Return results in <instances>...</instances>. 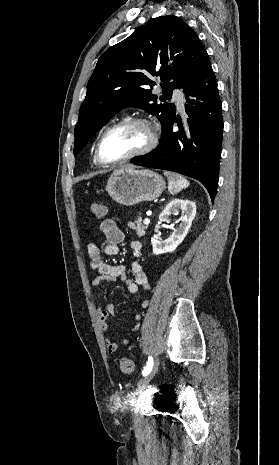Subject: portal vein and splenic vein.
Returning <instances> with one entry per match:
<instances>
[{
  "label": "portal vein and splenic vein",
  "instance_id": "obj_1",
  "mask_svg": "<svg viewBox=\"0 0 279 465\" xmlns=\"http://www.w3.org/2000/svg\"><path fill=\"white\" fill-rule=\"evenodd\" d=\"M149 223H150L149 218H145V219H144V224L148 225Z\"/></svg>",
  "mask_w": 279,
  "mask_h": 465
}]
</instances>
